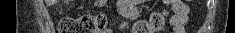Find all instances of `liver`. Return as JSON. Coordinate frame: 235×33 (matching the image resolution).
Returning <instances> with one entry per match:
<instances>
[{"label":"liver","instance_id":"liver-1","mask_svg":"<svg viewBox=\"0 0 235 33\" xmlns=\"http://www.w3.org/2000/svg\"><path fill=\"white\" fill-rule=\"evenodd\" d=\"M56 2V0H45V3L47 6H50L52 4H54Z\"/></svg>","mask_w":235,"mask_h":33}]
</instances>
